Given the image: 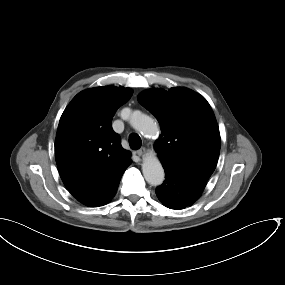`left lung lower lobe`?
<instances>
[{
	"label": "left lung lower lobe",
	"instance_id": "left-lung-lower-lobe-1",
	"mask_svg": "<svg viewBox=\"0 0 285 285\" xmlns=\"http://www.w3.org/2000/svg\"><path fill=\"white\" fill-rule=\"evenodd\" d=\"M163 168L166 180L156 188L162 204L176 210L192 205L203 192L207 181L170 165H163Z\"/></svg>",
	"mask_w": 285,
	"mask_h": 285
}]
</instances>
